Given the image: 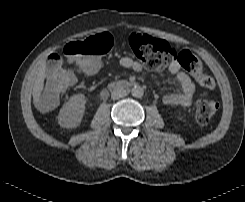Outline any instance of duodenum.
Returning <instances> with one entry per match:
<instances>
[{
  "label": "duodenum",
  "instance_id": "1",
  "mask_svg": "<svg viewBox=\"0 0 245 202\" xmlns=\"http://www.w3.org/2000/svg\"><path fill=\"white\" fill-rule=\"evenodd\" d=\"M133 85H134L133 82L124 81V82H119V83L112 84L111 88L126 90V89H129L130 87H132Z\"/></svg>",
  "mask_w": 245,
  "mask_h": 202
}]
</instances>
